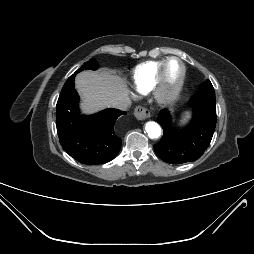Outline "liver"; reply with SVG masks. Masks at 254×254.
Segmentation results:
<instances>
[{
    "mask_svg": "<svg viewBox=\"0 0 254 254\" xmlns=\"http://www.w3.org/2000/svg\"><path fill=\"white\" fill-rule=\"evenodd\" d=\"M75 84L82 97L81 108L84 113H93L112 103L128 97L123 80L107 71H84L77 75Z\"/></svg>",
    "mask_w": 254,
    "mask_h": 254,
    "instance_id": "obj_1",
    "label": "liver"
}]
</instances>
